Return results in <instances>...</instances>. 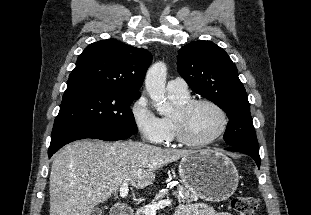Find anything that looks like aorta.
I'll return each mask as SVG.
<instances>
[{
    "label": "aorta",
    "instance_id": "1",
    "mask_svg": "<svg viewBox=\"0 0 311 215\" xmlns=\"http://www.w3.org/2000/svg\"><path fill=\"white\" fill-rule=\"evenodd\" d=\"M166 76V64L164 62H157L148 69L145 77L146 91L161 116L168 115L172 110V106L166 100L165 96Z\"/></svg>",
    "mask_w": 311,
    "mask_h": 215
}]
</instances>
